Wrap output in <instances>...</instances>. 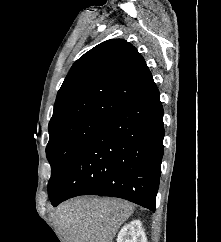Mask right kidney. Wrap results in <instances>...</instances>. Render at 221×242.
I'll return each mask as SVG.
<instances>
[{"mask_svg":"<svg viewBox=\"0 0 221 242\" xmlns=\"http://www.w3.org/2000/svg\"><path fill=\"white\" fill-rule=\"evenodd\" d=\"M117 242H146L141 222L133 220L124 225L118 233Z\"/></svg>","mask_w":221,"mask_h":242,"instance_id":"obj_1","label":"right kidney"}]
</instances>
